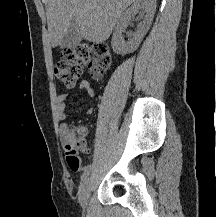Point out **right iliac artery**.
<instances>
[{
	"label": "right iliac artery",
	"instance_id": "obj_1",
	"mask_svg": "<svg viewBox=\"0 0 216 217\" xmlns=\"http://www.w3.org/2000/svg\"><path fill=\"white\" fill-rule=\"evenodd\" d=\"M90 170H91V165H88L85 167L84 169V172L81 176V183L83 184L85 182V180L87 179L89 173H90Z\"/></svg>",
	"mask_w": 216,
	"mask_h": 217
}]
</instances>
